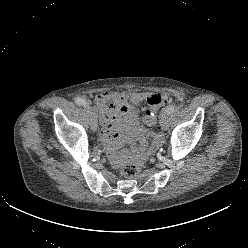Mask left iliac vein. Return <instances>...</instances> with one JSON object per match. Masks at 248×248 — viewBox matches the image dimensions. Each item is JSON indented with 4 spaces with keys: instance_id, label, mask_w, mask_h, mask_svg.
<instances>
[{
    "instance_id": "left-iliac-vein-1",
    "label": "left iliac vein",
    "mask_w": 248,
    "mask_h": 248,
    "mask_svg": "<svg viewBox=\"0 0 248 248\" xmlns=\"http://www.w3.org/2000/svg\"><path fill=\"white\" fill-rule=\"evenodd\" d=\"M160 125L163 130H167L169 127V113L166 109L160 113Z\"/></svg>"
}]
</instances>
